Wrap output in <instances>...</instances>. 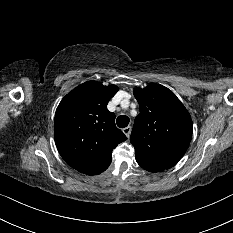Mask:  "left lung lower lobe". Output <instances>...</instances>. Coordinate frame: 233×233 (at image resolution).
<instances>
[{"label":"left lung lower lobe","mask_w":233,"mask_h":233,"mask_svg":"<svg viewBox=\"0 0 233 233\" xmlns=\"http://www.w3.org/2000/svg\"><path fill=\"white\" fill-rule=\"evenodd\" d=\"M137 163L145 170L149 171V172H160L163 171L164 169H161L159 167L147 164L141 160L136 159Z\"/></svg>","instance_id":"left-lung-lower-lobe-1"}]
</instances>
